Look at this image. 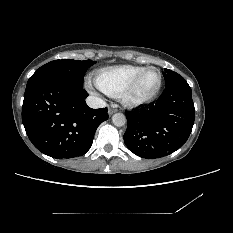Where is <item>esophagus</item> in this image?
I'll return each mask as SVG.
<instances>
[{
  "label": "esophagus",
  "mask_w": 233,
  "mask_h": 233,
  "mask_svg": "<svg viewBox=\"0 0 233 233\" xmlns=\"http://www.w3.org/2000/svg\"><path fill=\"white\" fill-rule=\"evenodd\" d=\"M117 111V109H115L114 107H110L109 109H108V114L109 115H112L113 113H115Z\"/></svg>",
  "instance_id": "34e87169"
}]
</instances>
